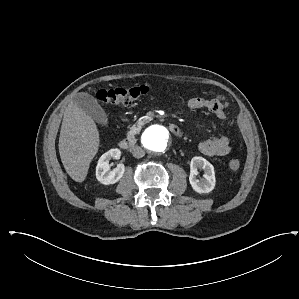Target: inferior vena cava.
I'll return each mask as SVG.
<instances>
[{
    "instance_id": "1",
    "label": "inferior vena cava",
    "mask_w": 299,
    "mask_h": 299,
    "mask_svg": "<svg viewBox=\"0 0 299 299\" xmlns=\"http://www.w3.org/2000/svg\"><path fill=\"white\" fill-rule=\"evenodd\" d=\"M132 154L135 158H142L145 155L144 150L140 146H134L132 149Z\"/></svg>"
}]
</instances>
